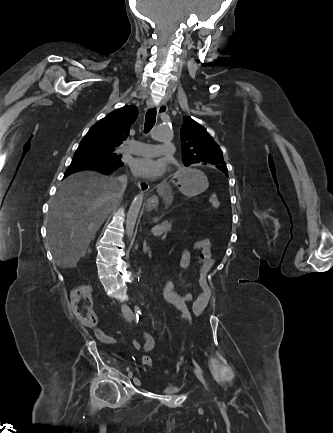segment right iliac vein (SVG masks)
Segmentation results:
<instances>
[{"instance_id": "right-iliac-vein-1", "label": "right iliac vein", "mask_w": 333, "mask_h": 433, "mask_svg": "<svg viewBox=\"0 0 333 433\" xmlns=\"http://www.w3.org/2000/svg\"><path fill=\"white\" fill-rule=\"evenodd\" d=\"M128 377L129 378H132L133 377V372L132 371H129V373H128ZM133 382H134V384L136 385V386H139L140 385V380L138 379V378H134L133 379Z\"/></svg>"}]
</instances>
